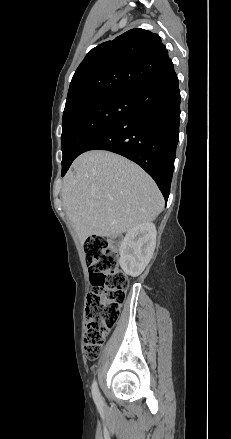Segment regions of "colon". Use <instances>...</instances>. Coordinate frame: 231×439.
<instances>
[{"mask_svg":"<svg viewBox=\"0 0 231 439\" xmlns=\"http://www.w3.org/2000/svg\"><path fill=\"white\" fill-rule=\"evenodd\" d=\"M84 251L93 285L87 296L84 349L89 360H96L106 335L118 320L128 278L120 270L117 253L108 240L90 237Z\"/></svg>","mask_w":231,"mask_h":439,"instance_id":"1","label":"colon"}]
</instances>
